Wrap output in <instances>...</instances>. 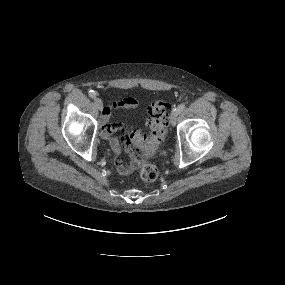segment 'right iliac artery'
I'll use <instances>...</instances> for the list:
<instances>
[{
    "label": "right iliac artery",
    "mask_w": 285,
    "mask_h": 285,
    "mask_svg": "<svg viewBox=\"0 0 285 285\" xmlns=\"http://www.w3.org/2000/svg\"><path fill=\"white\" fill-rule=\"evenodd\" d=\"M89 96H90L91 98H95V97H96V92L93 91V90H90V91H89Z\"/></svg>",
    "instance_id": "1"
}]
</instances>
